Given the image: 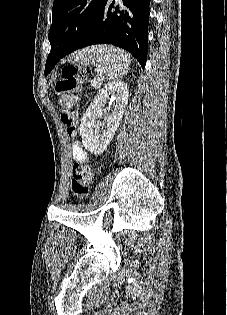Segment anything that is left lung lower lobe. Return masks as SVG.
Wrapping results in <instances>:
<instances>
[{"mask_svg": "<svg viewBox=\"0 0 227 315\" xmlns=\"http://www.w3.org/2000/svg\"><path fill=\"white\" fill-rule=\"evenodd\" d=\"M123 7L115 1L104 0L99 12L76 42L62 48L61 41H50L45 75L55 64L71 52L95 44H112L130 52L145 68L149 24V0H122Z\"/></svg>", "mask_w": 227, "mask_h": 315, "instance_id": "left-lung-lower-lobe-1", "label": "left lung lower lobe"}]
</instances>
